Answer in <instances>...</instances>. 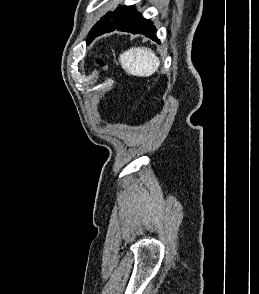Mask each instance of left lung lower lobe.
Listing matches in <instances>:
<instances>
[{
  "mask_svg": "<svg viewBox=\"0 0 259 294\" xmlns=\"http://www.w3.org/2000/svg\"><path fill=\"white\" fill-rule=\"evenodd\" d=\"M114 30L131 32L133 34H143L159 42L156 37V30L151 21L145 19L141 13L137 12L134 6H120L111 12L96 30L93 39L96 36Z\"/></svg>",
  "mask_w": 259,
  "mask_h": 294,
  "instance_id": "left-lung-lower-lobe-1",
  "label": "left lung lower lobe"
}]
</instances>
